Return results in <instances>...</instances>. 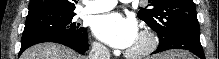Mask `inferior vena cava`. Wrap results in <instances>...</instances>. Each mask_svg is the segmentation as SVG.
I'll list each match as a JSON object with an SVG mask.
<instances>
[{
  "mask_svg": "<svg viewBox=\"0 0 219 59\" xmlns=\"http://www.w3.org/2000/svg\"><path fill=\"white\" fill-rule=\"evenodd\" d=\"M89 59H110V52L106 46L96 43L92 45Z\"/></svg>",
  "mask_w": 219,
  "mask_h": 59,
  "instance_id": "602c4592",
  "label": "inferior vena cava"
}]
</instances>
